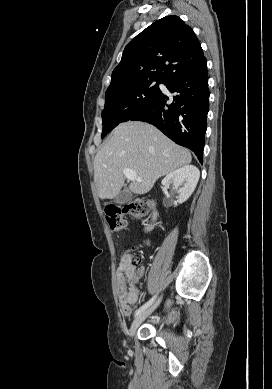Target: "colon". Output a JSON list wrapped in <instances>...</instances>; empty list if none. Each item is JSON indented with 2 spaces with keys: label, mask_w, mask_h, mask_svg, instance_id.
I'll return each instance as SVG.
<instances>
[{
  "label": "colon",
  "mask_w": 272,
  "mask_h": 389,
  "mask_svg": "<svg viewBox=\"0 0 272 389\" xmlns=\"http://www.w3.org/2000/svg\"><path fill=\"white\" fill-rule=\"evenodd\" d=\"M149 211L147 203L141 199H135L123 207H110L106 209V222L111 230L119 231L125 225L124 217L131 215L135 217L145 216ZM132 265H138L140 262L139 256L136 254L130 260Z\"/></svg>",
  "instance_id": "5ec220e1"
}]
</instances>
